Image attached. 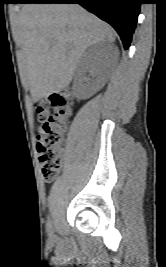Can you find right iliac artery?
<instances>
[{
  "mask_svg": "<svg viewBox=\"0 0 166 267\" xmlns=\"http://www.w3.org/2000/svg\"><path fill=\"white\" fill-rule=\"evenodd\" d=\"M46 229H47V232L49 235L53 232V226H52L51 220H48L47 225H46Z\"/></svg>",
  "mask_w": 166,
  "mask_h": 267,
  "instance_id": "1",
  "label": "right iliac artery"
}]
</instances>
